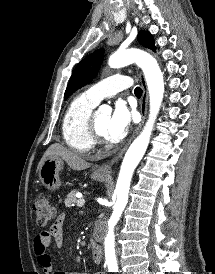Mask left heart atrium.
Returning a JSON list of instances; mask_svg holds the SVG:
<instances>
[{
    "instance_id": "1",
    "label": "left heart atrium",
    "mask_w": 215,
    "mask_h": 274,
    "mask_svg": "<svg viewBox=\"0 0 215 274\" xmlns=\"http://www.w3.org/2000/svg\"><path fill=\"white\" fill-rule=\"evenodd\" d=\"M132 112L123 103H117L113 113L109 117L105 137L111 142L122 140L131 125Z\"/></svg>"
}]
</instances>
